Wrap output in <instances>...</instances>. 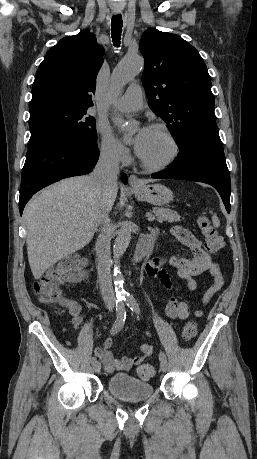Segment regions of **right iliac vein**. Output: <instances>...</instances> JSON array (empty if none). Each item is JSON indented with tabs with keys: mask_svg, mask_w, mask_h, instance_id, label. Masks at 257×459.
<instances>
[{
	"mask_svg": "<svg viewBox=\"0 0 257 459\" xmlns=\"http://www.w3.org/2000/svg\"><path fill=\"white\" fill-rule=\"evenodd\" d=\"M93 370L96 372V373H99L101 371V364L99 362H96L93 364Z\"/></svg>",
	"mask_w": 257,
	"mask_h": 459,
	"instance_id": "obj_1",
	"label": "right iliac vein"
}]
</instances>
